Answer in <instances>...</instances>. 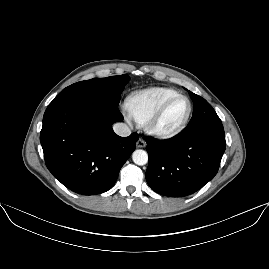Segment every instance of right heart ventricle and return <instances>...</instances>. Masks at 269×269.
Returning <instances> with one entry per match:
<instances>
[{"mask_svg":"<svg viewBox=\"0 0 269 269\" xmlns=\"http://www.w3.org/2000/svg\"><path fill=\"white\" fill-rule=\"evenodd\" d=\"M178 92L166 87H152L135 91L126 100L130 116L140 125H146L149 118L169 98Z\"/></svg>","mask_w":269,"mask_h":269,"instance_id":"obj_1","label":"right heart ventricle"}]
</instances>
